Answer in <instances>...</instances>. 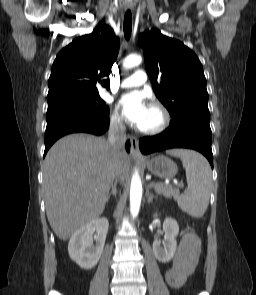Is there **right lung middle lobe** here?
<instances>
[{
    "mask_svg": "<svg viewBox=\"0 0 256 295\" xmlns=\"http://www.w3.org/2000/svg\"><path fill=\"white\" fill-rule=\"evenodd\" d=\"M76 110L81 112L103 113L109 108L99 94H67L59 98L48 100V110Z\"/></svg>",
    "mask_w": 256,
    "mask_h": 295,
    "instance_id": "right-lung-middle-lobe-1",
    "label": "right lung middle lobe"
}]
</instances>
